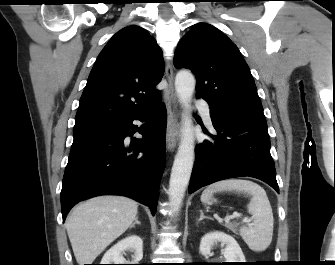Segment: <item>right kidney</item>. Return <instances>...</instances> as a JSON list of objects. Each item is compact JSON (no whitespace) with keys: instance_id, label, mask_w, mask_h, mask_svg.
Returning a JSON list of instances; mask_svg holds the SVG:
<instances>
[{"instance_id":"obj_1","label":"right kidney","mask_w":335,"mask_h":265,"mask_svg":"<svg viewBox=\"0 0 335 265\" xmlns=\"http://www.w3.org/2000/svg\"><path fill=\"white\" fill-rule=\"evenodd\" d=\"M125 251L133 252L132 262H126ZM143 258V241L137 235L128 236L112 246L103 256L101 264H139Z\"/></svg>"}]
</instances>
